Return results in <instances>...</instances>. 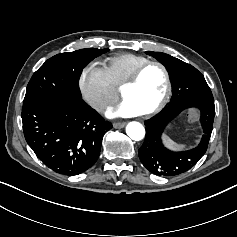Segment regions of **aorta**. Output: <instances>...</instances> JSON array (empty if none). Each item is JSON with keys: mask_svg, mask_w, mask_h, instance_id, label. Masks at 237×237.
Returning <instances> with one entry per match:
<instances>
[{"mask_svg": "<svg viewBox=\"0 0 237 237\" xmlns=\"http://www.w3.org/2000/svg\"><path fill=\"white\" fill-rule=\"evenodd\" d=\"M128 137L133 141H141L145 138V128L139 122H131L126 128Z\"/></svg>", "mask_w": 237, "mask_h": 237, "instance_id": "aorta-1", "label": "aorta"}]
</instances>
